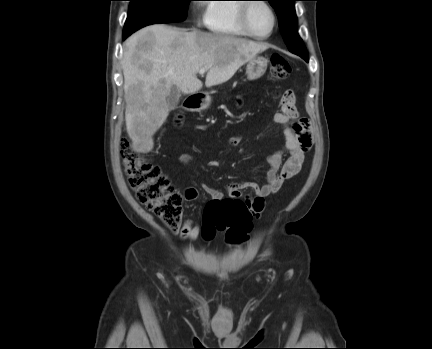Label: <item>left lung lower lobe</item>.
<instances>
[{
  "label": "left lung lower lobe",
  "mask_w": 432,
  "mask_h": 349,
  "mask_svg": "<svg viewBox=\"0 0 432 349\" xmlns=\"http://www.w3.org/2000/svg\"><path fill=\"white\" fill-rule=\"evenodd\" d=\"M305 61H309V58H308V56H301Z\"/></svg>",
  "instance_id": "1"
}]
</instances>
